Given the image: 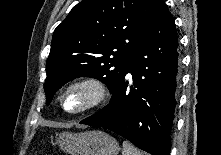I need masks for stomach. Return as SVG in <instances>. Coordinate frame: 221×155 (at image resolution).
Listing matches in <instances>:
<instances>
[{"mask_svg":"<svg viewBox=\"0 0 221 155\" xmlns=\"http://www.w3.org/2000/svg\"><path fill=\"white\" fill-rule=\"evenodd\" d=\"M61 150L70 155H118V142L105 132H62L57 138Z\"/></svg>","mask_w":221,"mask_h":155,"instance_id":"obj_1","label":"stomach"}]
</instances>
